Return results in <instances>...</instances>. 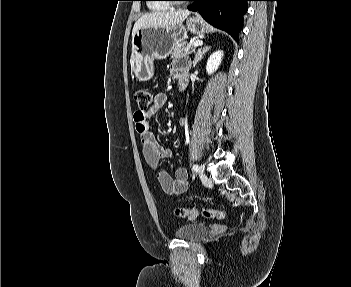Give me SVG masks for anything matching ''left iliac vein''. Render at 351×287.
I'll list each match as a JSON object with an SVG mask.
<instances>
[{"instance_id":"left-iliac-vein-1","label":"left iliac vein","mask_w":351,"mask_h":287,"mask_svg":"<svg viewBox=\"0 0 351 287\" xmlns=\"http://www.w3.org/2000/svg\"><path fill=\"white\" fill-rule=\"evenodd\" d=\"M198 175L200 178H205V169L203 165H200L198 168Z\"/></svg>"}]
</instances>
